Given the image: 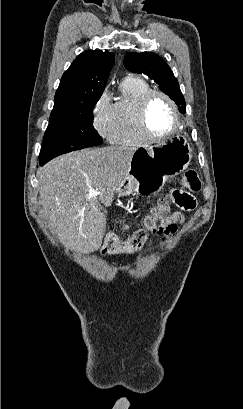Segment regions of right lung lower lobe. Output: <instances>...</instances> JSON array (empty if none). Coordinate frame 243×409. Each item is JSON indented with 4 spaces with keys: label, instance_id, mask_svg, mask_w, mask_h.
<instances>
[{
    "label": "right lung lower lobe",
    "instance_id": "right-lung-lower-lobe-1",
    "mask_svg": "<svg viewBox=\"0 0 243 409\" xmlns=\"http://www.w3.org/2000/svg\"><path fill=\"white\" fill-rule=\"evenodd\" d=\"M86 147H42L39 155V165H44L49 160L61 154L71 151L80 150Z\"/></svg>",
    "mask_w": 243,
    "mask_h": 409
}]
</instances>
